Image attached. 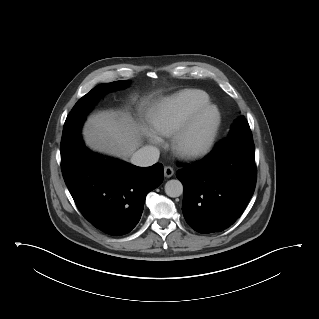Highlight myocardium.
I'll return each instance as SVG.
<instances>
[{
    "mask_svg": "<svg viewBox=\"0 0 319 319\" xmlns=\"http://www.w3.org/2000/svg\"><path fill=\"white\" fill-rule=\"evenodd\" d=\"M214 110L217 116L216 122L200 142L193 141V134L197 123L202 115L208 110ZM223 122V115L220 108L208 102L196 109L186 124L179 130L172 139V149L178 157L184 160H198L207 156L214 148Z\"/></svg>",
    "mask_w": 319,
    "mask_h": 319,
    "instance_id": "1",
    "label": "myocardium"
}]
</instances>
